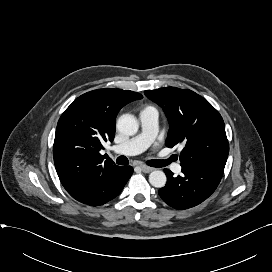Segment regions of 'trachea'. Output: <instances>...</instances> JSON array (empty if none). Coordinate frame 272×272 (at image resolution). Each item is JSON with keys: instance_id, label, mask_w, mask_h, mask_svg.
I'll return each mask as SVG.
<instances>
[{"instance_id": "1", "label": "trachea", "mask_w": 272, "mask_h": 272, "mask_svg": "<svg viewBox=\"0 0 272 272\" xmlns=\"http://www.w3.org/2000/svg\"><path fill=\"white\" fill-rule=\"evenodd\" d=\"M171 161H172L171 159H168V160H157V159H154V160L147 161V164L149 166H151V167H157V168H159V167L166 166ZM116 163L119 164V165H127L128 164V159L125 156H119L116 159Z\"/></svg>"}]
</instances>
